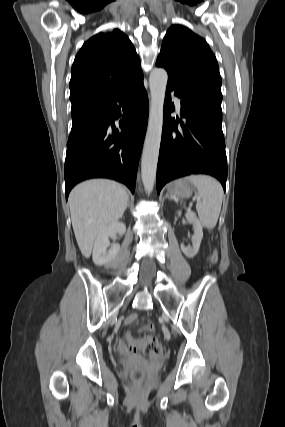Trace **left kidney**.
Here are the masks:
<instances>
[{"label": "left kidney", "instance_id": "5707ae66", "mask_svg": "<svg viewBox=\"0 0 285 427\" xmlns=\"http://www.w3.org/2000/svg\"><path fill=\"white\" fill-rule=\"evenodd\" d=\"M178 213H181L180 211ZM187 221L192 224L194 229V234L192 236V247H185L184 245H181V250L184 253V255L188 258H193L199 250L201 240L203 238V230L202 225L198 218L191 212L186 213L185 215Z\"/></svg>", "mask_w": 285, "mask_h": 427}]
</instances>
